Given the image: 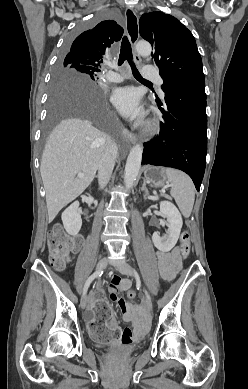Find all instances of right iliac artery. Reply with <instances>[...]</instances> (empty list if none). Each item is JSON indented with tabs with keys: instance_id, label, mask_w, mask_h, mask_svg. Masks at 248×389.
I'll list each match as a JSON object with an SVG mask.
<instances>
[{
	"instance_id": "82829eb1",
	"label": "right iliac artery",
	"mask_w": 248,
	"mask_h": 389,
	"mask_svg": "<svg viewBox=\"0 0 248 389\" xmlns=\"http://www.w3.org/2000/svg\"><path fill=\"white\" fill-rule=\"evenodd\" d=\"M102 274H103V271H102V270L96 271L95 273H93V274L87 279V281H86V283H85V285H84V288H83V294H86V293H87V290H88V288H89L91 282H92L95 278L101 276Z\"/></svg>"
}]
</instances>
